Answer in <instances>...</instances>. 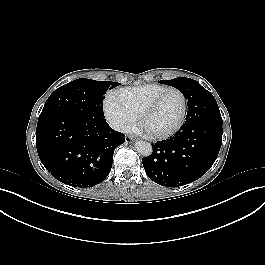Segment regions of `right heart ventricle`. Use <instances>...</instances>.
<instances>
[{
	"label": "right heart ventricle",
	"instance_id": "e07e8e85",
	"mask_svg": "<svg viewBox=\"0 0 265 265\" xmlns=\"http://www.w3.org/2000/svg\"><path fill=\"white\" fill-rule=\"evenodd\" d=\"M165 88L163 85L150 83L133 88H123L118 92L126 105L138 118L148 103Z\"/></svg>",
	"mask_w": 265,
	"mask_h": 265
}]
</instances>
